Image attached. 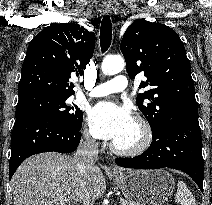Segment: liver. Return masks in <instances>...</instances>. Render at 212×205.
<instances>
[{
    "mask_svg": "<svg viewBox=\"0 0 212 205\" xmlns=\"http://www.w3.org/2000/svg\"><path fill=\"white\" fill-rule=\"evenodd\" d=\"M85 180L82 186L72 156L56 152L31 156L12 178L14 205H89L103 196L106 182L97 166L87 172Z\"/></svg>",
    "mask_w": 212,
    "mask_h": 205,
    "instance_id": "6515ba94",
    "label": "liver"
}]
</instances>
